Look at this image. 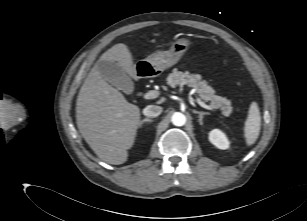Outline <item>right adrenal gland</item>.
<instances>
[{"label":"right adrenal gland","mask_w":307,"mask_h":221,"mask_svg":"<svg viewBox=\"0 0 307 221\" xmlns=\"http://www.w3.org/2000/svg\"><path fill=\"white\" fill-rule=\"evenodd\" d=\"M145 122H153V120H152V119H149V118H145V119H143L142 121H140L139 126L141 127L142 124L145 123Z\"/></svg>","instance_id":"1"}]
</instances>
